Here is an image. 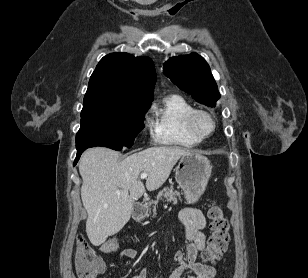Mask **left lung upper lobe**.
Returning <instances> with one entry per match:
<instances>
[{
  "label": "left lung upper lobe",
  "mask_w": 308,
  "mask_h": 278,
  "mask_svg": "<svg viewBox=\"0 0 308 278\" xmlns=\"http://www.w3.org/2000/svg\"><path fill=\"white\" fill-rule=\"evenodd\" d=\"M164 74L196 101L215 107L220 98L207 62L197 53L173 57L163 67Z\"/></svg>",
  "instance_id": "5c2ea615"
}]
</instances>
